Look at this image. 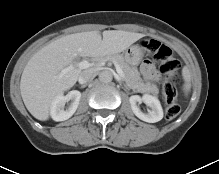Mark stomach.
Instances as JSON below:
<instances>
[{"label":"stomach","instance_id":"1","mask_svg":"<svg viewBox=\"0 0 219 174\" xmlns=\"http://www.w3.org/2000/svg\"><path fill=\"white\" fill-rule=\"evenodd\" d=\"M143 58V48L139 45H133L126 50L125 60L130 65H137Z\"/></svg>","mask_w":219,"mask_h":174}]
</instances>
